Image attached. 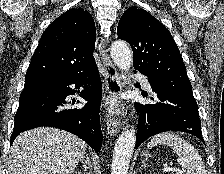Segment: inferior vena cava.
I'll list each match as a JSON object with an SVG mask.
<instances>
[{
  "instance_id": "1",
  "label": "inferior vena cava",
  "mask_w": 224,
  "mask_h": 174,
  "mask_svg": "<svg viewBox=\"0 0 224 174\" xmlns=\"http://www.w3.org/2000/svg\"><path fill=\"white\" fill-rule=\"evenodd\" d=\"M84 158H85V157L83 156L81 159H84ZM87 160H88V159L86 158V161H85L84 163H86V162H87Z\"/></svg>"
}]
</instances>
